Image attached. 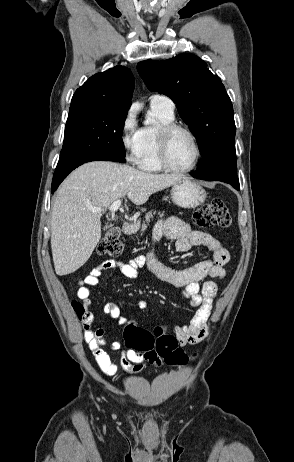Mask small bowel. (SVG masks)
<instances>
[{"label": "small bowel", "instance_id": "small-bowel-1", "mask_svg": "<svg viewBox=\"0 0 294 462\" xmlns=\"http://www.w3.org/2000/svg\"><path fill=\"white\" fill-rule=\"evenodd\" d=\"M162 236L174 240L178 252H186L194 246H204L211 255L185 269H174L164 265L152 252L139 255L127 263L106 260L93 268L78 283L77 297L84 307L83 337L100 369L108 376L117 377L118 366L105 350L106 347L113 351L121 350L120 365L130 375L141 373L148 360L143 352L132 349L122 350V344L118 340L107 341L103 327L91 328L94 315L89 311L90 287L99 283L102 272L119 269L125 277L136 278L138 270L147 265L161 281L182 288L183 297L191 307L196 308L189 324H179L174 327L179 345L196 344L208 335V319L213 299L217 294V284L212 279H222L225 276L224 266L229 260V253L214 236L207 232L192 230L189 224L177 217H168L156 225L153 240L158 241ZM138 306L144 310L147 308V303L141 300ZM103 312L116 320L119 325H126L127 319L121 315L120 308L116 304H105Z\"/></svg>", "mask_w": 294, "mask_h": 462}]
</instances>
